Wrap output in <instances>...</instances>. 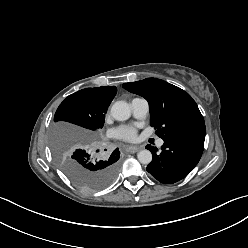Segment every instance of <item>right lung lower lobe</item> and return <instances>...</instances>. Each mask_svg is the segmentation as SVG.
Returning <instances> with one entry per match:
<instances>
[{
	"label": "right lung lower lobe",
	"instance_id": "obj_1",
	"mask_svg": "<svg viewBox=\"0 0 248 248\" xmlns=\"http://www.w3.org/2000/svg\"><path fill=\"white\" fill-rule=\"evenodd\" d=\"M114 153H117V156L120 157V152H119V149L118 148L114 150Z\"/></svg>",
	"mask_w": 248,
	"mask_h": 248
}]
</instances>
